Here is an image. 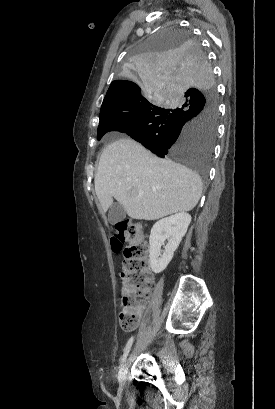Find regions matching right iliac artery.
<instances>
[{
	"instance_id": "obj_1",
	"label": "right iliac artery",
	"mask_w": 275,
	"mask_h": 409,
	"mask_svg": "<svg viewBox=\"0 0 275 409\" xmlns=\"http://www.w3.org/2000/svg\"><path fill=\"white\" fill-rule=\"evenodd\" d=\"M133 341H134V337L132 336V337L128 340V342H127V344H126V346H125V348H124V353H123V356L121 357V365H122V364L124 363V361L126 360V358H127V356H128V353H129V351H130V348H131V346H132Z\"/></svg>"
}]
</instances>
